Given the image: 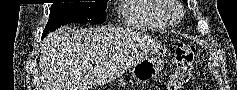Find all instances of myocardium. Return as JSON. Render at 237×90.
<instances>
[{
    "mask_svg": "<svg viewBox=\"0 0 237 90\" xmlns=\"http://www.w3.org/2000/svg\"><path fill=\"white\" fill-rule=\"evenodd\" d=\"M163 17H165L163 15ZM165 23H167L169 26H177L181 22V12H177V14H174V17H165Z\"/></svg>",
    "mask_w": 237,
    "mask_h": 90,
    "instance_id": "f54148a6",
    "label": "myocardium"
}]
</instances>
